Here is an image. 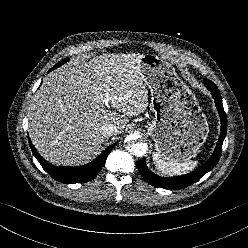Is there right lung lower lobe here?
Listing matches in <instances>:
<instances>
[{"mask_svg": "<svg viewBox=\"0 0 248 248\" xmlns=\"http://www.w3.org/2000/svg\"><path fill=\"white\" fill-rule=\"evenodd\" d=\"M54 69L55 68L53 67L51 70ZM28 140L34 156L37 158L44 170L48 172L55 180L66 184L85 183L93 180L104 165L108 154L111 152L114 146H116V143L110 145L95 160L86 165L75 167H59L54 166L44 160L34 148L29 137Z\"/></svg>", "mask_w": 248, "mask_h": 248, "instance_id": "right-lung-lower-lobe-1", "label": "right lung lower lobe"}]
</instances>
